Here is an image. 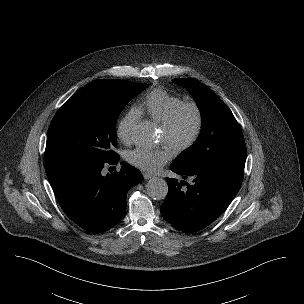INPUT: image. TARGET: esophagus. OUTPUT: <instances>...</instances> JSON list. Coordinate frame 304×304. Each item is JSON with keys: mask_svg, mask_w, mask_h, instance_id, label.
Returning <instances> with one entry per match:
<instances>
[{"mask_svg": "<svg viewBox=\"0 0 304 304\" xmlns=\"http://www.w3.org/2000/svg\"><path fill=\"white\" fill-rule=\"evenodd\" d=\"M142 175H143V178L146 179V180L151 179L153 177L151 174L146 173V172H143Z\"/></svg>", "mask_w": 304, "mask_h": 304, "instance_id": "1", "label": "esophagus"}]
</instances>
